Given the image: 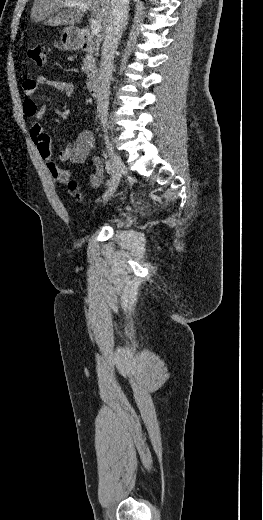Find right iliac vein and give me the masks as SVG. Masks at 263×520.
Listing matches in <instances>:
<instances>
[{
	"mask_svg": "<svg viewBox=\"0 0 263 520\" xmlns=\"http://www.w3.org/2000/svg\"><path fill=\"white\" fill-rule=\"evenodd\" d=\"M105 140H106V147L109 151V155L112 160L113 170H112V177L109 182L108 191L104 196V203H106L111 198V196L114 194V192L116 191V189L119 185L121 176H122L123 172L125 171V165L123 164L120 156L114 151L112 144L110 143L108 137H106Z\"/></svg>",
	"mask_w": 263,
	"mask_h": 520,
	"instance_id": "obj_1",
	"label": "right iliac vein"
}]
</instances>
